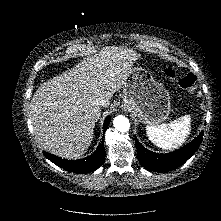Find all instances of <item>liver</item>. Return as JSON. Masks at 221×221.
<instances>
[{
  "instance_id": "6515ba94",
  "label": "liver",
  "mask_w": 221,
  "mask_h": 221,
  "mask_svg": "<svg viewBox=\"0 0 221 221\" xmlns=\"http://www.w3.org/2000/svg\"><path fill=\"white\" fill-rule=\"evenodd\" d=\"M131 49L107 46L88 53L70 70L41 84L30 103V119L38 143L48 152L77 159L90 146L101 108L119 91L136 60Z\"/></svg>"
}]
</instances>
